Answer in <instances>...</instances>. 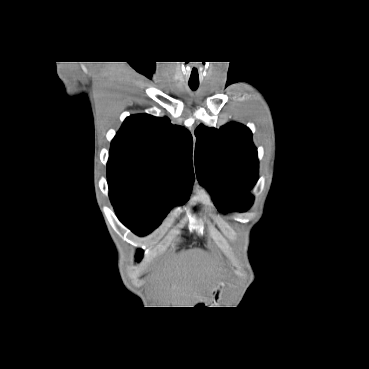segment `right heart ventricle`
<instances>
[{"label":"right heart ventricle","mask_w":369,"mask_h":369,"mask_svg":"<svg viewBox=\"0 0 369 369\" xmlns=\"http://www.w3.org/2000/svg\"><path fill=\"white\" fill-rule=\"evenodd\" d=\"M200 200L206 205V206H210L211 205V201L209 199V197L207 195H201Z\"/></svg>","instance_id":"e07e8e85"}]
</instances>
